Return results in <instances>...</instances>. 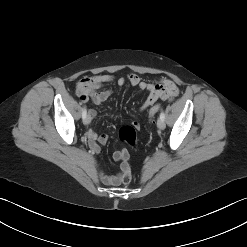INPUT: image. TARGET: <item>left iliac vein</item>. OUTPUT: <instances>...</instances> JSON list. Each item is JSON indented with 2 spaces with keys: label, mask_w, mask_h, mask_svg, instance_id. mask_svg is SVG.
Masks as SVG:
<instances>
[{
  "label": "left iliac vein",
  "mask_w": 247,
  "mask_h": 247,
  "mask_svg": "<svg viewBox=\"0 0 247 247\" xmlns=\"http://www.w3.org/2000/svg\"><path fill=\"white\" fill-rule=\"evenodd\" d=\"M157 126L160 130H163L165 129V122L163 119L159 118L158 121H157Z\"/></svg>",
  "instance_id": "left-iliac-vein-1"
}]
</instances>
